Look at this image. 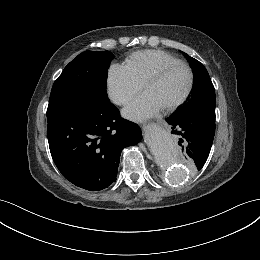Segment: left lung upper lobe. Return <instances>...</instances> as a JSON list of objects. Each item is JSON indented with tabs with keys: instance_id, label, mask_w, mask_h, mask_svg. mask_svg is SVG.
I'll list each match as a JSON object with an SVG mask.
<instances>
[{
	"instance_id": "obj_1",
	"label": "left lung upper lobe",
	"mask_w": 260,
	"mask_h": 260,
	"mask_svg": "<svg viewBox=\"0 0 260 260\" xmlns=\"http://www.w3.org/2000/svg\"><path fill=\"white\" fill-rule=\"evenodd\" d=\"M184 55L189 60L194 72V87L188 103L177 113L194 110L215 113V89L206 68L198 60Z\"/></svg>"
}]
</instances>
